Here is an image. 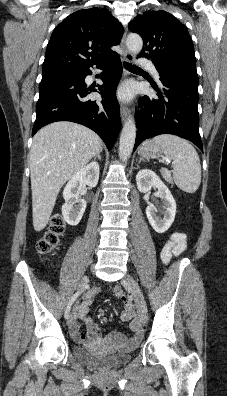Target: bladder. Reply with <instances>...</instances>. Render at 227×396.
<instances>
[{"label": "bladder", "instance_id": "1", "mask_svg": "<svg viewBox=\"0 0 227 396\" xmlns=\"http://www.w3.org/2000/svg\"><path fill=\"white\" fill-rule=\"evenodd\" d=\"M73 355L76 360L84 365L99 370H109L116 368L129 360V353L102 354L88 348L76 346L73 348Z\"/></svg>", "mask_w": 227, "mask_h": 396}]
</instances>
